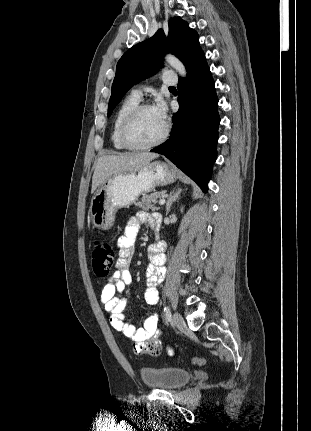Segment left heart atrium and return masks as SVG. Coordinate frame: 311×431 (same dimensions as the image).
Segmentation results:
<instances>
[{
  "label": "left heart atrium",
  "instance_id": "left-heart-atrium-1",
  "mask_svg": "<svg viewBox=\"0 0 311 431\" xmlns=\"http://www.w3.org/2000/svg\"><path fill=\"white\" fill-rule=\"evenodd\" d=\"M152 109L156 113V115L159 117V119L166 123L167 118V106L165 102L162 99H157L155 104L153 105Z\"/></svg>",
  "mask_w": 311,
  "mask_h": 431
}]
</instances>
